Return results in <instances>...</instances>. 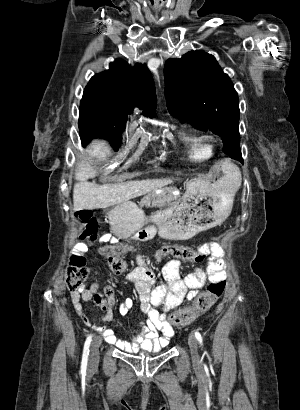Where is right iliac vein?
Listing matches in <instances>:
<instances>
[{
  "label": "right iliac vein",
  "instance_id": "63e3f726",
  "mask_svg": "<svg viewBox=\"0 0 300 410\" xmlns=\"http://www.w3.org/2000/svg\"><path fill=\"white\" fill-rule=\"evenodd\" d=\"M101 337L100 336H96L91 344L90 347V355H89V360H90V364L94 365L99 358V347L101 345Z\"/></svg>",
  "mask_w": 300,
  "mask_h": 410
}]
</instances>
